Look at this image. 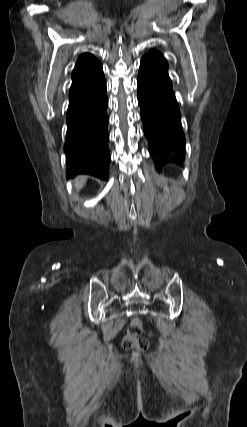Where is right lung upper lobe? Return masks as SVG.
Returning <instances> with one entry per match:
<instances>
[{"instance_id": "obj_1", "label": "right lung upper lobe", "mask_w": 247, "mask_h": 427, "mask_svg": "<svg viewBox=\"0 0 247 427\" xmlns=\"http://www.w3.org/2000/svg\"><path fill=\"white\" fill-rule=\"evenodd\" d=\"M101 68V63L91 54H82L72 72V83L81 80Z\"/></svg>"}]
</instances>
